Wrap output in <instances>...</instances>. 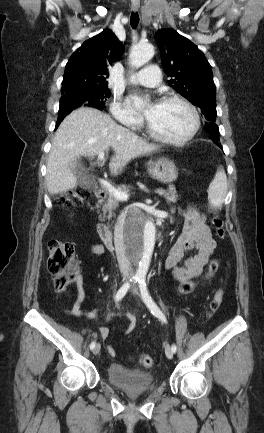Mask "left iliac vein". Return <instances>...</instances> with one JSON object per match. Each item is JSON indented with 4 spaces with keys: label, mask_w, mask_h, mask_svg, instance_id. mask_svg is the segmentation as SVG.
<instances>
[{
    "label": "left iliac vein",
    "mask_w": 264,
    "mask_h": 433,
    "mask_svg": "<svg viewBox=\"0 0 264 433\" xmlns=\"http://www.w3.org/2000/svg\"><path fill=\"white\" fill-rule=\"evenodd\" d=\"M132 292L134 294H138L136 286H132ZM165 354H166L167 358H169V359L173 358V351H172V349H171V347L169 345H167L165 347Z\"/></svg>",
    "instance_id": "4c4485c4"
}]
</instances>
